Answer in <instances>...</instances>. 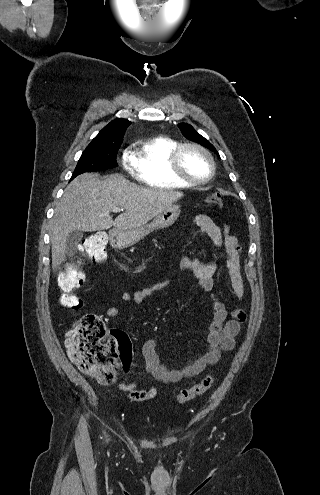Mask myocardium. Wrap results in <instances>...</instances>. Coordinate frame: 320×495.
Listing matches in <instances>:
<instances>
[{
	"label": "myocardium",
	"instance_id": "obj_1",
	"mask_svg": "<svg viewBox=\"0 0 320 495\" xmlns=\"http://www.w3.org/2000/svg\"><path fill=\"white\" fill-rule=\"evenodd\" d=\"M186 149H195V150L201 152L206 157V159L208 160L209 165H210V171H209V174L205 178L196 179V178L190 177L189 175H187L184 172V170L182 168V164H181V158H182L183 152ZM170 167H171L173 174L177 178H179L180 180L186 182L187 184H189L191 186L202 185V184L209 182L213 178L215 171H216V164H215L214 158L211 155V153L202 145L197 144V143H193V142H185V143L178 144V146L173 150V152L170 155Z\"/></svg>",
	"mask_w": 320,
	"mask_h": 495
}]
</instances>
